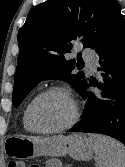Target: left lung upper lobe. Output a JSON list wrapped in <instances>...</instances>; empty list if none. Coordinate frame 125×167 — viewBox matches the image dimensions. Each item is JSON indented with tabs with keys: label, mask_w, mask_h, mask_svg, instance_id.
<instances>
[{
	"label": "left lung upper lobe",
	"mask_w": 125,
	"mask_h": 167,
	"mask_svg": "<svg viewBox=\"0 0 125 167\" xmlns=\"http://www.w3.org/2000/svg\"><path fill=\"white\" fill-rule=\"evenodd\" d=\"M121 15L116 0H48L33 7L18 32L19 56L12 94L18 106L40 81L62 79L81 93L87 86L79 60H66L73 40L96 50ZM80 56V54L78 55Z\"/></svg>",
	"instance_id": "1"
}]
</instances>
